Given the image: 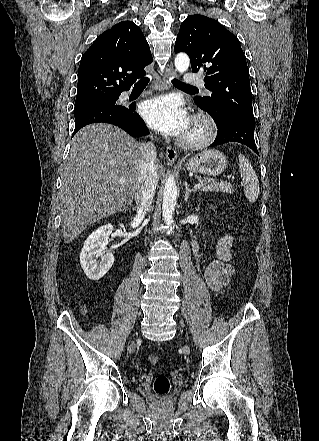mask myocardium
Instances as JSON below:
<instances>
[{"label":"myocardium","instance_id":"1","mask_svg":"<svg viewBox=\"0 0 319 441\" xmlns=\"http://www.w3.org/2000/svg\"><path fill=\"white\" fill-rule=\"evenodd\" d=\"M190 128H195V133H185L180 140L183 148L196 150L209 145L216 137L217 126L212 117L199 113L191 121Z\"/></svg>","mask_w":319,"mask_h":441}]
</instances>
